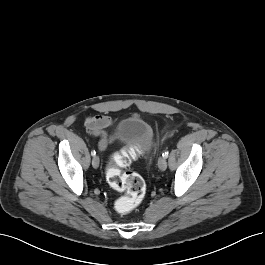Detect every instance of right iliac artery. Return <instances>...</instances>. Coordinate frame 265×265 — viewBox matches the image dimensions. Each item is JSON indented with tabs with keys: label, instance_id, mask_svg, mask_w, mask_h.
Wrapping results in <instances>:
<instances>
[{
	"label": "right iliac artery",
	"instance_id": "1",
	"mask_svg": "<svg viewBox=\"0 0 265 265\" xmlns=\"http://www.w3.org/2000/svg\"><path fill=\"white\" fill-rule=\"evenodd\" d=\"M96 152L94 150L91 151V155L95 156Z\"/></svg>",
	"mask_w": 265,
	"mask_h": 265
}]
</instances>
